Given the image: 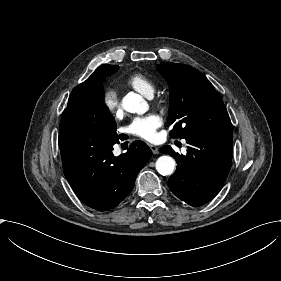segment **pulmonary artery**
Wrapping results in <instances>:
<instances>
[{"label": "pulmonary artery", "mask_w": 281, "mask_h": 281, "mask_svg": "<svg viewBox=\"0 0 281 281\" xmlns=\"http://www.w3.org/2000/svg\"><path fill=\"white\" fill-rule=\"evenodd\" d=\"M117 153H118V149L116 148V149H115V154H117Z\"/></svg>", "instance_id": "obj_1"}]
</instances>
